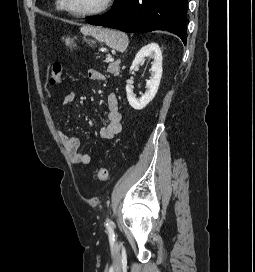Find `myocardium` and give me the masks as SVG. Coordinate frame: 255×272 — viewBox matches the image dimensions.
Returning a JSON list of instances; mask_svg holds the SVG:
<instances>
[{
  "instance_id": "1",
  "label": "myocardium",
  "mask_w": 255,
  "mask_h": 272,
  "mask_svg": "<svg viewBox=\"0 0 255 272\" xmlns=\"http://www.w3.org/2000/svg\"><path fill=\"white\" fill-rule=\"evenodd\" d=\"M112 2H113V0H104L102 2V4L94 10H90V11H86V12H77V11H74L70 8L67 0H61V4H62L63 9L66 12H68L70 15L75 16V17H79V18H86V17L100 15L109 9Z\"/></svg>"
}]
</instances>
